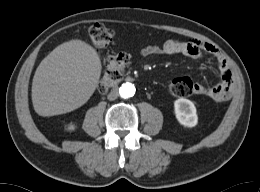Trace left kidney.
<instances>
[{
  "instance_id": "5707ae66",
  "label": "left kidney",
  "mask_w": 260,
  "mask_h": 192,
  "mask_svg": "<svg viewBox=\"0 0 260 192\" xmlns=\"http://www.w3.org/2000/svg\"><path fill=\"white\" fill-rule=\"evenodd\" d=\"M174 111L175 116L181 125L186 127H194L197 125V111L192 101L185 98L175 100Z\"/></svg>"
}]
</instances>
